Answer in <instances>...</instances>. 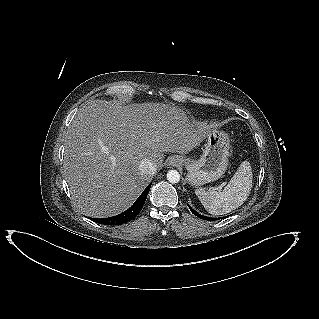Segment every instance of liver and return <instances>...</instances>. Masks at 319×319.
I'll return each mask as SVG.
<instances>
[{
  "label": "liver",
  "mask_w": 319,
  "mask_h": 319,
  "mask_svg": "<svg viewBox=\"0 0 319 319\" xmlns=\"http://www.w3.org/2000/svg\"><path fill=\"white\" fill-rule=\"evenodd\" d=\"M208 130L206 123L162 103L83 106L64 139L63 173L74 205L94 218L125 211L152 178L139 169L143 159L160 169L164 152L187 154Z\"/></svg>",
  "instance_id": "obj_1"
}]
</instances>
